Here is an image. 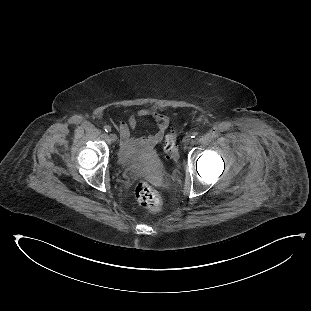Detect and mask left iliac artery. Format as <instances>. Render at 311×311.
<instances>
[{
	"instance_id": "1",
	"label": "left iliac artery",
	"mask_w": 311,
	"mask_h": 311,
	"mask_svg": "<svg viewBox=\"0 0 311 311\" xmlns=\"http://www.w3.org/2000/svg\"><path fill=\"white\" fill-rule=\"evenodd\" d=\"M197 135H198V133L194 131L191 133V138H195Z\"/></svg>"
}]
</instances>
